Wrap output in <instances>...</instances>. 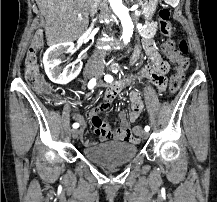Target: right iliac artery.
I'll return each mask as SVG.
<instances>
[{
  "instance_id": "82829eb1",
  "label": "right iliac artery",
  "mask_w": 217,
  "mask_h": 202,
  "mask_svg": "<svg viewBox=\"0 0 217 202\" xmlns=\"http://www.w3.org/2000/svg\"><path fill=\"white\" fill-rule=\"evenodd\" d=\"M95 85H96V78H92L88 83V88L92 89V88H94ZM78 127H79L78 123L73 124V128H78Z\"/></svg>"
}]
</instances>
